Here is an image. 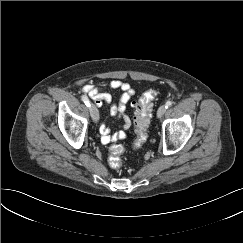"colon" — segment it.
I'll return each mask as SVG.
<instances>
[{
	"label": "colon",
	"instance_id": "colon-1",
	"mask_svg": "<svg viewBox=\"0 0 243 243\" xmlns=\"http://www.w3.org/2000/svg\"><path fill=\"white\" fill-rule=\"evenodd\" d=\"M157 90L151 88L147 90L141 98L133 103L135 108L134 125L135 140L134 149H139L147 140V132L150 124L153 102L157 96ZM124 152V146L120 141H114L109 150V164L113 169H119L122 165L121 156Z\"/></svg>",
	"mask_w": 243,
	"mask_h": 243
}]
</instances>
